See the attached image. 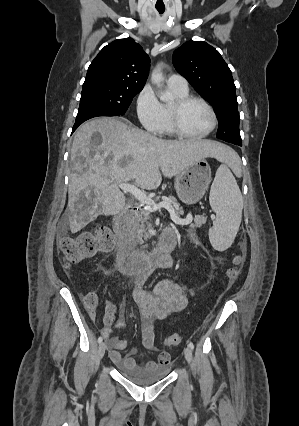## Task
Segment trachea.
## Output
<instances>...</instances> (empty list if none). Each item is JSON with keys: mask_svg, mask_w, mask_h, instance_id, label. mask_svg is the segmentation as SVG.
<instances>
[{"mask_svg": "<svg viewBox=\"0 0 299 426\" xmlns=\"http://www.w3.org/2000/svg\"><path fill=\"white\" fill-rule=\"evenodd\" d=\"M157 10H158V12H159L160 14H163V13H164V11H165V8H162V9L157 8Z\"/></svg>", "mask_w": 299, "mask_h": 426, "instance_id": "3493384b", "label": "trachea"}]
</instances>
